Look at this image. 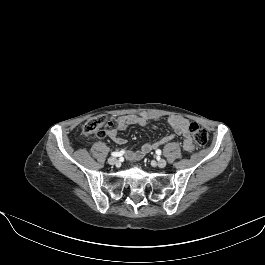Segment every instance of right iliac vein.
Returning <instances> with one entry per match:
<instances>
[{
    "label": "right iliac vein",
    "mask_w": 265,
    "mask_h": 265,
    "mask_svg": "<svg viewBox=\"0 0 265 265\" xmlns=\"http://www.w3.org/2000/svg\"><path fill=\"white\" fill-rule=\"evenodd\" d=\"M108 163H109L110 165H116V164H118V160H117V158H115V157H110V158L108 159Z\"/></svg>",
    "instance_id": "right-iliac-vein-1"
}]
</instances>
